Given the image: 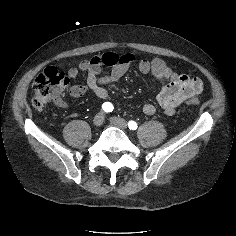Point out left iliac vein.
Wrapping results in <instances>:
<instances>
[{
    "instance_id": "4c4485c4",
    "label": "left iliac vein",
    "mask_w": 236,
    "mask_h": 236,
    "mask_svg": "<svg viewBox=\"0 0 236 236\" xmlns=\"http://www.w3.org/2000/svg\"><path fill=\"white\" fill-rule=\"evenodd\" d=\"M110 122L114 124L115 126L121 128L122 130H126L128 127L127 122L123 118H120V117H115V116L110 117Z\"/></svg>"
}]
</instances>
